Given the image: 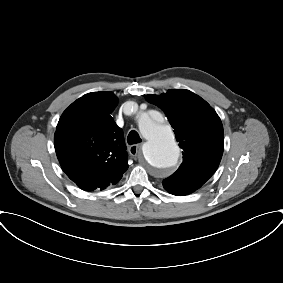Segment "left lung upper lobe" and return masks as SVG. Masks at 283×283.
Returning <instances> with one entry per match:
<instances>
[{"label":"left lung upper lobe","instance_id":"obj_1","mask_svg":"<svg viewBox=\"0 0 283 283\" xmlns=\"http://www.w3.org/2000/svg\"><path fill=\"white\" fill-rule=\"evenodd\" d=\"M166 114L180 148L183 162L165 179V190L195 191L216 171L223 153V126L217 113L198 95L183 89L147 95Z\"/></svg>","mask_w":283,"mask_h":283}]
</instances>
